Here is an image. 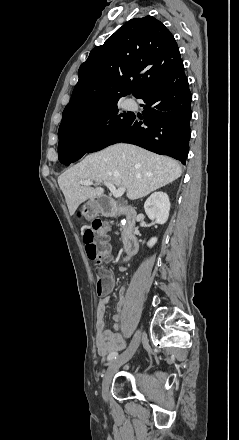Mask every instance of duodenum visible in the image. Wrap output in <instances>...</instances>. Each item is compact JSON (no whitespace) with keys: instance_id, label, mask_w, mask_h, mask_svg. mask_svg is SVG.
Here are the masks:
<instances>
[{"instance_id":"duodenum-1","label":"duodenum","mask_w":239,"mask_h":440,"mask_svg":"<svg viewBox=\"0 0 239 440\" xmlns=\"http://www.w3.org/2000/svg\"><path fill=\"white\" fill-rule=\"evenodd\" d=\"M96 207L98 211L106 216L124 215L126 218L125 225L122 230V241L126 257L134 256L138 249V238L135 234L136 211L134 208L119 204L116 200L108 196H100L96 199Z\"/></svg>"}]
</instances>
